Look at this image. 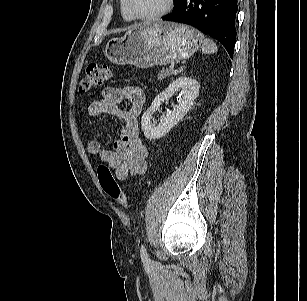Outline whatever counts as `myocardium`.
<instances>
[{"instance_id": "obj_1", "label": "myocardium", "mask_w": 307, "mask_h": 301, "mask_svg": "<svg viewBox=\"0 0 307 301\" xmlns=\"http://www.w3.org/2000/svg\"><path fill=\"white\" fill-rule=\"evenodd\" d=\"M127 7L132 14V16L137 19V20H142V21H153L160 19L164 16H166L174 7L175 0H167L166 6L160 10L157 13L151 14V15H142L140 14L134 7L132 0H126Z\"/></svg>"}]
</instances>
